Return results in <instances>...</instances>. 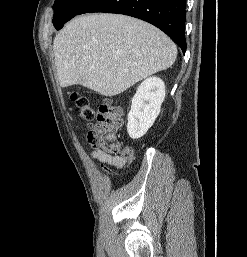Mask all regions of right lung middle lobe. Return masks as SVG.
Listing matches in <instances>:
<instances>
[{"label":"right lung middle lobe","mask_w":247,"mask_h":257,"mask_svg":"<svg viewBox=\"0 0 247 257\" xmlns=\"http://www.w3.org/2000/svg\"><path fill=\"white\" fill-rule=\"evenodd\" d=\"M92 0H55L53 25L60 30Z\"/></svg>","instance_id":"right-lung-middle-lobe-1"}]
</instances>
